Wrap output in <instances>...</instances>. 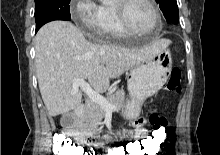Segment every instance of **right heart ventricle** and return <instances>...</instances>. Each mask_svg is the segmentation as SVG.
I'll return each instance as SVG.
<instances>
[{
  "instance_id": "1",
  "label": "right heart ventricle",
  "mask_w": 220,
  "mask_h": 155,
  "mask_svg": "<svg viewBox=\"0 0 220 155\" xmlns=\"http://www.w3.org/2000/svg\"><path fill=\"white\" fill-rule=\"evenodd\" d=\"M104 16V29L101 35L105 38H124L129 36L120 23L115 6H102Z\"/></svg>"
}]
</instances>
